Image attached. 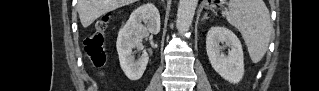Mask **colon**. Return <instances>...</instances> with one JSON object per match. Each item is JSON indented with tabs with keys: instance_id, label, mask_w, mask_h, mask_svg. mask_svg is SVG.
Returning a JSON list of instances; mask_svg holds the SVG:
<instances>
[{
	"instance_id": "obj_1",
	"label": "colon",
	"mask_w": 319,
	"mask_h": 91,
	"mask_svg": "<svg viewBox=\"0 0 319 91\" xmlns=\"http://www.w3.org/2000/svg\"><path fill=\"white\" fill-rule=\"evenodd\" d=\"M108 17L104 16L99 19L85 41V53L91 60L94 66L101 67L105 63V52L103 48L104 44V32L108 25Z\"/></svg>"
}]
</instances>
